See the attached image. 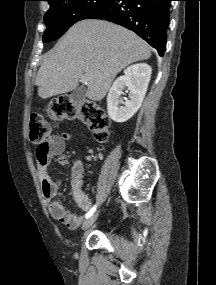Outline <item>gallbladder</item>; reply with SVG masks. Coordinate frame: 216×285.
<instances>
[{"mask_svg":"<svg viewBox=\"0 0 216 285\" xmlns=\"http://www.w3.org/2000/svg\"><path fill=\"white\" fill-rule=\"evenodd\" d=\"M86 89L84 87H79L73 91L71 94L72 102L74 104H80L85 100Z\"/></svg>","mask_w":216,"mask_h":285,"instance_id":"1","label":"gallbladder"}]
</instances>
